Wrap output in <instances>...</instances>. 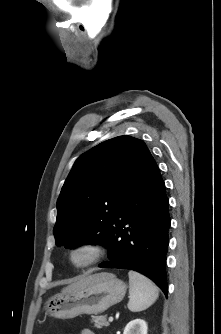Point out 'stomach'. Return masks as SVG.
Returning a JSON list of instances; mask_svg holds the SVG:
<instances>
[{"label":"stomach","mask_w":221,"mask_h":334,"mask_svg":"<svg viewBox=\"0 0 221 334\" xmlns=\"http://www.w3.org/2000/svg\"><path fill=\"white\" fill-rule=\"evenodd\" d=\"M94 281L84 288L62 292L45 303L46 312L58 319H72L82 314L97 315L119 303L126 284L110 273L93 274Z\"/></svg>","instance_id":"1"}]
</instances>
